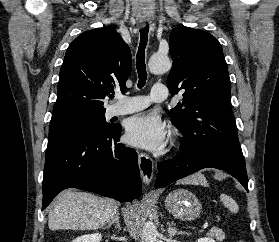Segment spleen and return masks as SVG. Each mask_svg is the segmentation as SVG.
<instances>
[{"mask_svg": "<svg viewBox=\"0 0 279 242\" xmlns=\"http://www.w3.org/2000/svg\"><path fill=\"white\" fill-rule=\"evenodd\" d=\"M221 202L233 213H237L239 210V207L234 199H232L230 196L226 194H221L220 196Z\"/></svg>", "mask_w": 279, "mask_h": 242, "instance_id": "obj_1", "label": "spleen"}]
</instances>
